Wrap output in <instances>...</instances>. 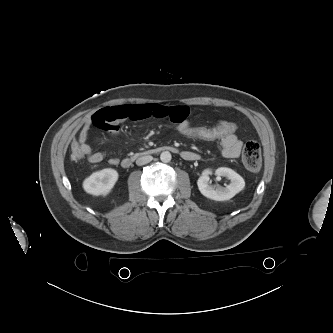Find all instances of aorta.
Wrapping results in <instances>:
<instances>
[{"mask_svg": "<svg viewBox=\"0 0 333 333\" xmlns=\"http://www.w3.org/2000/svg\"><path fill=\"white\" fill-rule=\"evenodd\" d=\"M160 159L164 163L170 162L171 159H172L171 153L169 151L162 152L161 155H160Z\"/></svg>", "mask_w": 333, "mask_h": 333, "instance_id": "obj_1", "label": "aorta"}]
</instances>
